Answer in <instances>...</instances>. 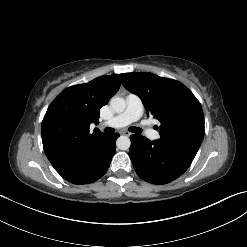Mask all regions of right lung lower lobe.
<instances>
[{"label":"right lung lower lobe","mask_w":247,"mask_h":247,"mask_svg":"<svg viewBox=\"0 0 247 247\" xmlns=\"http://www.w3.org/2000/svg\"><path fill=\"white\" fill-rule=\"evenodd\" d=\"M118 137L117 133L104 134L82 153L52 165L65 180L71 183H92L106 173L115 154Z\"/></svg>","instance_id":"right-lung-lower-lobe-1"}]
</instances>
